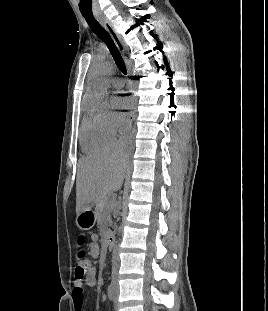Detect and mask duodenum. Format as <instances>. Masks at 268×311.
I'll return each instance as SVG.
<instances>
[{
  "mask_svg": "<svg viewBox=\"0 0 268 311\" xmlns=\"http://www.w3.org/2000/svg\"><path fill=\"white\" fill-rule=\"evenodd\" d=\"M115 238L112 234H108L105 238V245L108 249H111L114 246Z\"/></svg>",
  "mask_w": 268,
  "mask_h": 311,
  "instance_id": "duodenum-1",
  "label": "duodenum"
}]
</instances>
